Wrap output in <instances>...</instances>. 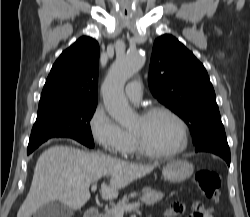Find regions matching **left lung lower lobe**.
<instances>
[{
	"label": "left lung lower lobe",
	"mask_w": 250,
	"mask_h": 217,
	"mask_svg": "<svg viewBox=\"0 0 250 217\" xmlns=\"http://www.w3.org/2000/svg\"><path fill=\"white\" fill-rule=\"evenodd\" d=\"M196 152H210L222 157L230 165V149L225 131L215 133L196 146Z\"/></svg>",
	"instance_id": "left-lung-lower-lobe-1"
}]
</instances>
